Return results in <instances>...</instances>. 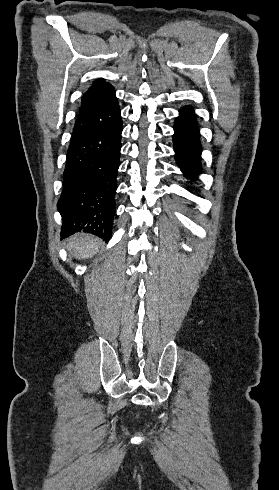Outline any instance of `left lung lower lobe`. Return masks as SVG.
Listing matches in <instances>:
<instances>
[{
    "label": "left lung lower lobe",
    "instance_id": "1",
    "mask_svg": "<svg viewBox=\"0 0 279 490\" xmlns=\"http://www.w3.org/2000/svg\"><path fill=\"white\" fill-rule=\"evenodd\" d=\"M174 125L173 146L175 160L187 178L196 179L201 173V144L199 128L193 109L185 106Z\"/></svg>",
    "mask_w": 279,
    "mask_h": 490
}]
</instances>
